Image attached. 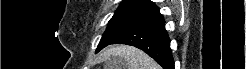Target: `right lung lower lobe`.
Instances as JSON below:
<instances>
[{"label": "right lung lower lobe", "instance_id": "98d812e1", "mask_svg": "<svg viewBox=\"0 0 246 69\" xmlns=\"http://www.w3.org/2000/svg\"><path fill=\"white\" fill-rule=\"evenodd\" d=\"M142 17V22L119 35L110 44L135 46L146 52L164 69H174L170 39L159 9L156 8Z\"/></svg>", "mask_w": 246, "mask_h": 69}]
</instances>
